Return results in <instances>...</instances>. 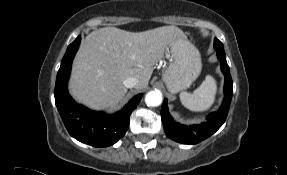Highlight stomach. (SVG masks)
Wrapping results in <instances>:
<instances>
[{
    "label": "stomach",
    "mask_w": 287,
    "mask_h": 175,
    "mask_svg": "<svg viewBox=\"0 0 287 175\" xmlns=\"http://www.w3.org/2000/svg\"><path fill=\"white\" fill-rule=\"evenodd\" d=\"M170 64L162 80L169 92L175 94L187 89L197 79L202 63L198 49L187 39L177 38L169 45Z\"/></svg>",
    "instance_id": "obj_1"
}]
</instances>
